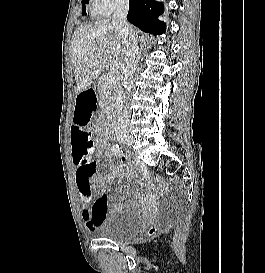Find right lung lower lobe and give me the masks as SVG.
<instances>
[{
	"label": "right lung lower lobe",
	"mask_w": 265,
	"mask_h": 273,
	"mask_svg": "<svg viewBox=\"0 0 265 273\" xmlns=\"http://www.w3.org/2000/svg\"><path fill=\"white\" fill-rule=\"evenodd\" d=\"M163 10V4L155 0H129L127 20L144 32L163 34L165 24L158 20Z\"/></svg>",
	"instance_id": "obj_1"
}]
</instances>
